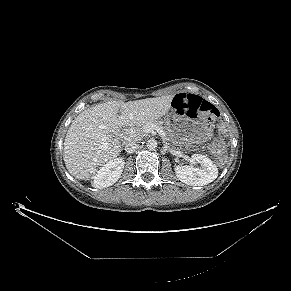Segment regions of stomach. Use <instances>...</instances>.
Listing matches in <instances>:
<instances>
[{"label":"stomach","mask_w":291,"mask_h":291,"mask_svg":"<svg viewBox=\"0 0 291 291\" xmlns=\"http://www.w3.org/2000/svg\"><path fill=\"white\" fill-rule=\"evenodd\" d=\"M165 120L168 125L188 129V134L198 140L205 139L211 132V129L204 123L185 115L170 114L166 115Z\"/></svg>","instance_id":"1"}]
</instances>
